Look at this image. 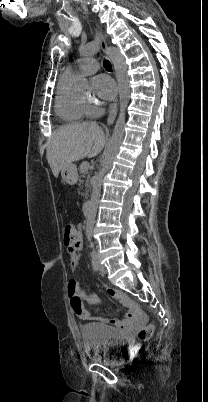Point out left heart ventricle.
<instances>
[{
  "instance_id": "b2bd125f",
  "label": "left heart ventricle",
  "mask_w": 208,
  "mask_h": 402,
  "mask_svg": "<svg viewBox=\"0 0 208 402\" xmlns=\"http://www.w3.org/2000/svg\"><path fill=\"white\" fill-rule=\"evenodd\" d=\"M86 90H87V87L80 93V94H84V95H87V92H86ZM99 96H100V94H98Z\"/></svg>"
}]
</instances>
